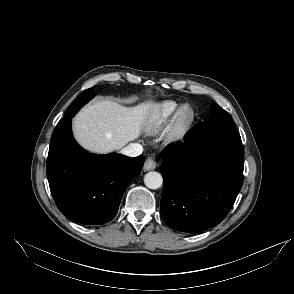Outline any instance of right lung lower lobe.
I'll use <instances>...</instances> for the list:
<instances>
[{
	"mask_svg": "<svg viewBox=\"0 0 294 294\" xmlns=\"http://www.w3.org/2000/svg\"><path fill=\"white\" fill-rule=\"evenodd\" d=\"M87 98L94 88L85 90ZM72 117L56 125L47 158V178L59 210L71 221L99 225L117 214L121 197L144 164V156L130 158L117 153L95 155L74 140Z\"/></svg>",
	"mask_w": 294,
	"mask_h": 294,
	"instance_id": "98d812e1",
	"label": "right lung lower lobe"
}]
</instances>
